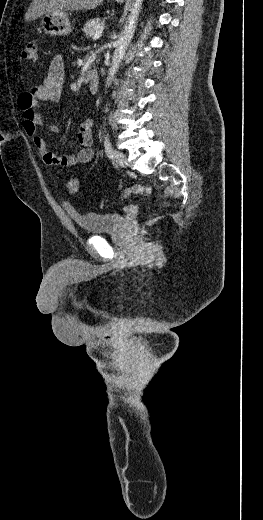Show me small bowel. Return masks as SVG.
Here are the masks:
<instances>
[{"label": "small bowel", "instance_id": "small-bowel-1", "mask_svg": "<svg viewBox=\"0 0 263 520\" xmlns=\"http://www.w3.org/2000/svg\"><path fill=\"white\" fill-rule=\"evenodd\" d=\"M64 77V60L62 56L57 55L52 59L43 81L33 86L29 91L20 94L18 106L23 115V129L28 136L32 137L33 144L42 161L47 165L70 168L77 164L88 163L94 157L92 148L94 142L93 120L85 119L81 122L78 141L82 148L76 154L57 156L48 149L46 141L38 135L39 127H47L52 132L57 130L56 125L45 123L39 110L41 103L57 104L60 101Z\"/></svg>", "mask_w": 263, "mask_h": 520}]
</instances>
